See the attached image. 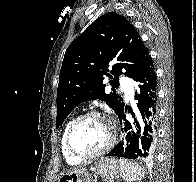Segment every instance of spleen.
<instances>
[{"label":"spleen","instance_id":"1","mask_svg":"<svg viewBox=\"0 0 196 182\" xmlns=\"http://www.w3.org/2000/svg\"><path fill=\"white\" fill-rule=\"evenodd\" d=\"M119 169L121 177L126 181L141 179L144 176L141 167L126 159L119 160Z\"/></svg>","mask_w":196,"mask_h":182}]
</instances>
